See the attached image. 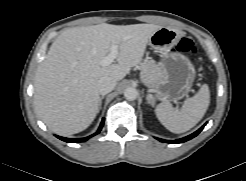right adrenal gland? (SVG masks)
<instances>
[{
  "instance_id": "obj_1",
  "label": "right adrenal gland",
  "mask_w": 246,
  "mask_h": 181,
  "mask_svg": "<svg viewBox=\"0 0 246 181\" xmlns=\"http://www.w3.org/2000/svg\"><path fill=\"white\" fill-rule=\"evenodd\" d=\"M104 99V95L100 97L99 99V108H98V112L101 109V105H102V100Z\"/></svg>"
}]
</instances>
